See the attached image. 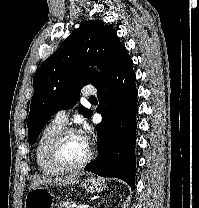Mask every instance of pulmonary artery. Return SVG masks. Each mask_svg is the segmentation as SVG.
I'll use <instances>...</instances> for the list:
<instances>
[{
	"mask_svg": "<svg viewBox=\"0 0 199 208\" xmlns=\"http://www.w3.org/2000/svg\"><path fill=\"white\" fill-rule=\"evenodd\" d=\"M96 89L92 87H87L82 90V96L87 98L94 97ZM53 121L65 125L68 121V113L65 110H60L56 112L53 116Z\"/></svg>",
	"mask_w": 199,
	"mask_h": 208,
	"instance_id": "obj_1",
	"label": "pulmonary artery"
}]
</instances>
